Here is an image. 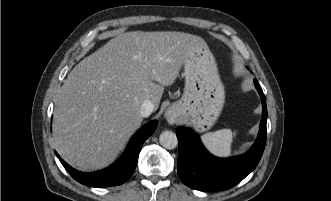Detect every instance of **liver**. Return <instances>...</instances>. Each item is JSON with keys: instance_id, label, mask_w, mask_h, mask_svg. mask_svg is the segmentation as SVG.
Here are the masks:
<instances>
[{"instance_id": "liver-1", "label": "liver", "mask_w": 331, "mask_h": 201, "mask_svg": "<svg viewBox=\"0 0 331 201\" xmlns=\"http://www.w3.org/2000/svg\"><path fill=\"white\" fill-rule=\"evenodd\" d=\"M205 41L176 32L120 34L80 61L69 73L56 102L54 145L80 171L111 164L143 121L141 105L159 106L185 58Z\"/></svg>"}]
</instances>
